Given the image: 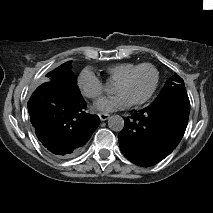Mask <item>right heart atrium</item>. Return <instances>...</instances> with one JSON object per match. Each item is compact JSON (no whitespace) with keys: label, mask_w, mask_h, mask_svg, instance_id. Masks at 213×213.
<instances>
[{"label":"right heart atrium","mask_w":213,"mask_h":213,"mask_svg":"<svg viewBox=\"0 0 213 213\" xmlns=\"http://www.w3.org/2000/svg\"><path fill=\"white\" fill-rule=\"evenodd\" d=\"M78 86L81 92L88 98L100 99L106 91L103 80L90 69H84L79 78Z\"/></svg>","instance_id":"1"}]
</instances>
